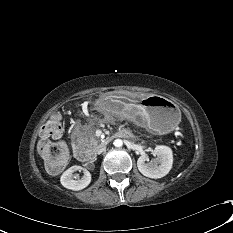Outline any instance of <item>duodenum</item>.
Returning a JSON list of instances; mask_svg holds the SVG:
<instances>
[{"label":"duodenum","instance_id":"obj_1","mask_svg":"<svg viewBox=\"0 0 233 233\" xmlns=\"http://www.w3.org/2000/svg\"><path fill=\"white\" fill-rule=\"evenodd\" d=\"M120 135L126 137L127 133L125 131H120ZM74 151L77 159L80 161L88 162L93 159L91 151L81 144H74Z\"/></svg>","mask_w":233,"mask_h":233}]
</instances>
